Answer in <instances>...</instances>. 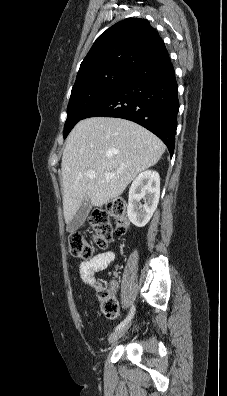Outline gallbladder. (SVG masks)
Segmentation results:
<instances>
[{"instance_id": "gallbladder-1", "label": "gallbladder", "mask_w": 227, "mask_h": 396, "mask_svg": "<svg viewBox=\"0 0 227 396\" xmlns=\"http://www.w3.org/2000/svg\"><path fill=\"white\" fill-rule=\"evenodd\" d=\"M91 210V201L85 197L82 201L80 208L77 210L71 221L67 224V231L74 232L85 222Z\"/></svg>"}]
</instances>
